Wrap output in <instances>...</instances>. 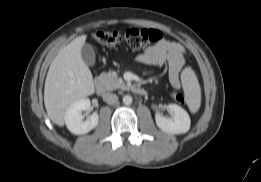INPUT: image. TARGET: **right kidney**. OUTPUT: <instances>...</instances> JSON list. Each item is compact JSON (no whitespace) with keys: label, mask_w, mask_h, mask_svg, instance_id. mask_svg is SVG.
<instances>
[{"label":"right kidney","mask_w":261,"mask_h":182,"mask_svg":"<svg viewBox=\"0 0 261 182\" xmlns=\"http://www.w3.org/2000/svg\"><path fill=\"white\" fill-rule=\"evenodd\" d=\"M90 104L88 98H82L75 101L67 108L64 115V121L71 133L76 135L86 134L98 125L99 116L97 113H93L86 121H83L84 116L81 112L88 110Z\"/></svg>","instance_id":"ca27d5eb"}]
</instances>
